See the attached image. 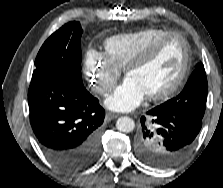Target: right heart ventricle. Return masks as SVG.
I'll list each match as a JSON object with an SVG mask.
<instances>
[{
    "label": "right heart ventricle",
    "mask_w": 223,
    "mask_h": 188,
    "mask_svg": "<svg viewBox=\"0 0 223 188\" xmlns=\"http://www.w3.org/2000/svg\"><path fill=\"white\" fill-rule=\"evenodd\" d=\"M167 32V29L150 27L114 35L104 43L105 54L117 67L125 68L142 49Z\"/></svg>",
    "instance_id": "right-heart-ventricle-1"
}]
</instances>
